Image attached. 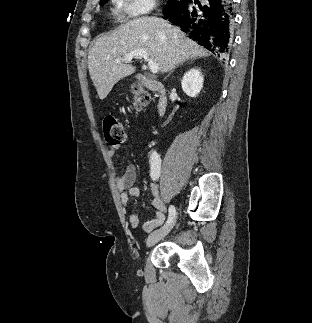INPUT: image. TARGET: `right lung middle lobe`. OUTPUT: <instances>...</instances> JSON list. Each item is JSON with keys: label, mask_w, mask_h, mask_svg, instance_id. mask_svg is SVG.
I'll use <instances>...</instances> for the list:
<instances>
[{"label": "right lung middle lobe", "mask_w": 312, "mask_h": 323, "mask_svg": "<svg viewBox=\"0 0 312 323\" xmlns=\"http://www.w3.org/2000/svg\"><path fill=\"white\" fill-rule=\"evenodd\" d=\"M107 1H108V0H106V2H107ZM176 2H177V0H174V2H173V1H171V0H169V1L167 2L166 7H167V8H169V7L173 6Z\"/></svg>", "instance_id": "right-lung-middle-lobe-1"}]
</instances>
